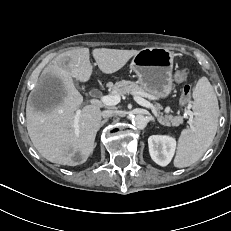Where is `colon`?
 Returning <instances> with one entry per match:
<instances>
[{"mask_svg":"<svg viewBox=\"0 0 231 231\" xmlns=\"http://www.w3.org/2000/svg\"><path fill=\"white\" fill-rule=\"evenodd\" d=\"M190 70L188 68L181 69L175 75L176 80L178 81H185L189 76ZM191 98V86L185 85L182 89L181 96H180V103L181 105H186L190 102Z\"/></svg>","mask_w":231,"mask_h":231,"instance_id":"1","label":"colon"}]
</instances>
